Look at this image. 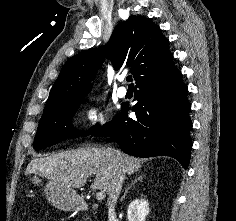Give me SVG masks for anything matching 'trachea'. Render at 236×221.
I'll return each instance as SVG.
<instances>
[{"mask_svg":"<svg viewBox=\"0 0 236 221\" xmlns=\"http://www.w3.org/2000/svg\"><path fill=\"white\" fill-rule=\"evenodd\" d=\"M126 80L132 82V76L131 75L127 76ZM130 86H133V83H131Z\"/></svg>","mask_w":236,"mask_h":221,"instance_id":"1","label":"trachea"}]
</instances>
